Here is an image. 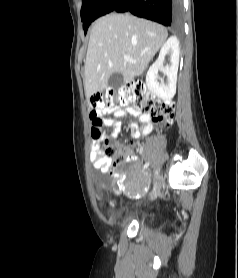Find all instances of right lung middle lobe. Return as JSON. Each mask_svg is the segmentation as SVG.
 Here are the masks:
<instances>
[{
  "label": "right lung middle lobe",
  "instance_id": "right-lung-middle-lobe-1",
  "mask_svg": "<svg viewBox=\"0 0 238 278\" xmlns=\"http://www.w3.org/2000/svg\"><path fill=\"white\" fill-rule=\"evenodd\" d=\"M99 1L100 0H83V4L81 8V21L83 22V29L85 33L87 32L89 26L88 23L89 13Z\"/></svg>",
  "mask_w": 238,
  "mask_h": 278
}]
</instances>
